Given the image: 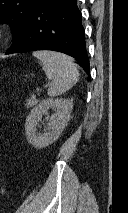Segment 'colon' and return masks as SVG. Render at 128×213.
Segmentation results:
<instances>
[{
    "instance_id": "1",
    "label": "colon",
    "mask_w": 128,
    "mask_h": 213,
    "mask_svg": "<svg viewBox=\"0 0 128 213\" xmlns=\"http://www.w3.org/2000/svg\"><path fill=\"white\" fill-rule=\"evenodd\" d=\"M4 194L3 180L1 178V170H0V195Z\"/></svg>"
}]
</instances>
